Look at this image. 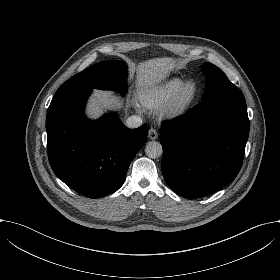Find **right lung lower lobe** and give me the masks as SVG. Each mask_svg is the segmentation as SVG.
I'll return each mask as SVG.
<instances>
[{"label": "right lung lower lobe", "instance_id": "right-lung-lower-lobe-1", "mask_svg": "<svg viewBox=\"0 0 280 280\" xmlns=\"http://www.w3.org/2000/svg\"><path fill=\"white\" fill-rule=\"evenodd\" d=\"M93 89L60 87L46 117L48 158L55 175L88 198L118 190L128 167L146 142L148 126L126 128L114 113L97 121L85 118Z\"/></svg>", "mask_w": 280, "mask_h": 280}]
</instances>
